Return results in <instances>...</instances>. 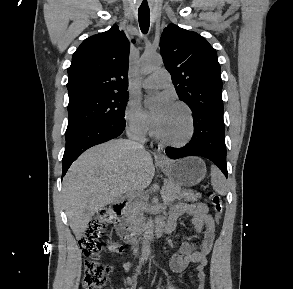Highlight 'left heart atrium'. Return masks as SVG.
Wrapping results in <instances>:
<instances>
[{
  "label": "left heart atrium",
  "instance_id": "obj_1",
  "mask_svg": "<svg viewBox=\"0 0 293 289\" xmlns=\"http://www.w3.org/2000/svg\"><path fill=\"white\" fill-rule=\"evenodd\" d=\"M145 104L149 109V116L154 125L160 123L172 107V102L165 95L148 97Z\"/></svg>",
  "mask_w": 293,
  "mask_h": 289
}]
</instances>
